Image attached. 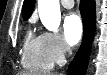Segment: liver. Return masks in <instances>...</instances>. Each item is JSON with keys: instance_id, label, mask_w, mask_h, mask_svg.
<instances>
[{"instance_id": "obj_1", "label": "liver", "mask_w": 107, "mask_h": 75, "mask_svg": "<svg viewBox=\"0 0 107 75\" xmlns=\"http://www.w3.org/2000/svg\"><path fill=\"white\" fill-rule=\"evenodd\" d=\"M18 75H31L28 72H20ZM48 75H58V74H48Z\"/></svg>"}]
</instances>
